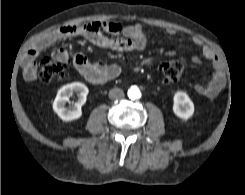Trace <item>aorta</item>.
I'll use <instances>...</instances> for the list:
<instances>
[{
  "label": "aorta",
  "instance_id": "obj_1",
  "mask_svg": "<svg viewBox=\"0 0 245 195\" xmlns=\"http://www.w3.org/2000/svg\"><path fill=\"white\" fill-rule=\"evenodd\" d=\"M127 94H128V97L132 100L139 99L141 97V92H140L139 88L136 86H132L128 90Z\"/></svg>",
  "mask_w": 245,
  "mask_h": 195
}]
</instances>
